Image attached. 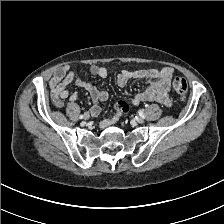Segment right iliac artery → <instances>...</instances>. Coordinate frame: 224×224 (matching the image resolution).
Instances as JSON below:
<instances>
[{
	"label": "right iliac artery",
	"instance_id": "82829eb1",
	"mask_svg": "<svg viewBox=\"0 0 224 224\" xmlns=\"http://www.w3.org/2000/svg\"><path fill=\"white\" fill-rule=\"evenodd\" d=\"M84 115H85V114H84ZM84 115H80V117H79V118H80V119H83V118H84Z\"/></svg>",
	"mask_w": 224,
	"mask_h": 224
}]
</instances>
